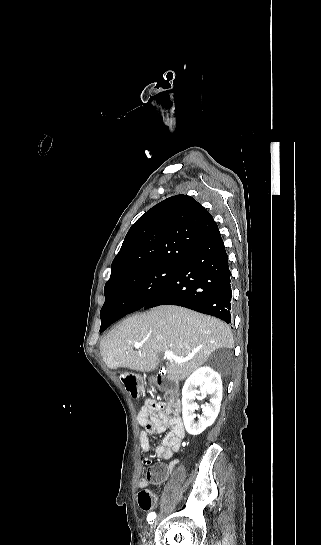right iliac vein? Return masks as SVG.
I'll return each instance as SVG.
<instances>
[{"label": "right iliac vein", "mask_w": 321, "mask_h": 545, "mask_svg": "<svg viewBox=\"0 0 321 545\" xmlns=\"http://www.w3.org/2000/svg\"><path fill=\"white\" fill-rule=\"evenodd\" d=\"M160 520H161V516L157 517V518L155 519V521H153V522L151 523L150 532L148 533V536H149V537H150L151 533L154 532V530L156 529V527H157V525H158V523H159Z\"/></svg>", "instance_id": "1"}]
</instances>
